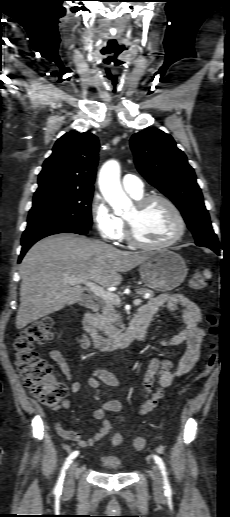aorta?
<instances>
[{"label": "aorta", "mask_w": 230, "mask_h": 517, "mask_svg": "<svg viewBox=\"0 0 230 517\" xmlns=\"http://www.w3.org/2000/svg\"><path fill=\"white\" fill-rule=\"evenodd\" d=\"M99 188L105 200L116 213H122L130 204L120 183V165L116 160L103 164L99 173Z\"/></svg>", "instance_id": "762f6f07"}]
</instances>
